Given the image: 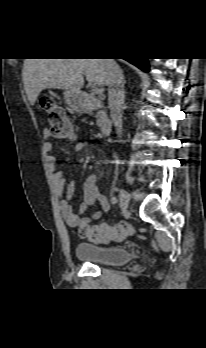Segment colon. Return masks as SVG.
<instances>
[{
  "mask_svg": "<svg viewBox=\"0 0 206 348\" xmlns=\"http://www.w3.org/2000/svg\"><path fill=\"white\" fill-rule=\"evenodd\" d=\"M41 107L47 113L50 134L53 137L72 140L75 130L63 107L58 105L52 97H44ZM134 227L130 223L120 222L115 225L102 223L99 225H88L80 231V235L90 241L106 243L110 241H121L132 235Z\"/></svg>",
  "mask_w": 206,
  "mask_h": 348,
  "instance_id": "5ec220e1",
  "label": "colon"
}]
</instances>
